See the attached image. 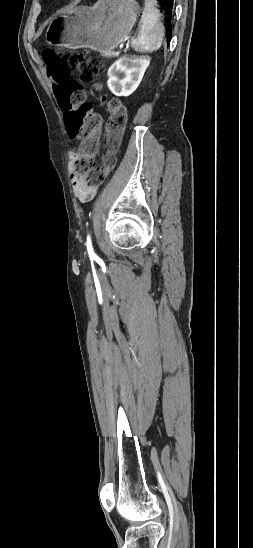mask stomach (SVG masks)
Wrapping results in <instances>:
<instances>
[{
    "label": "stomach",
    "mask_w": 253,
    "mask_h": 548,
    "mask_svg": "<svg viewBox=\"0 0 253 548\" xmlns=\"http://www.w3.org/2000/svg\"><path fill=\"white\" fill-rule=\"evenodd\" d=\"M139 13L135 0H98L92 7L79 6L56 17L48 27V40L104 54L125 40Z\"/></svg>",
    "instance_id": "stomach-1"
}]
</instances>
